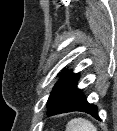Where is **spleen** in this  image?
<instances>
[{
	"label": "spleen",
	"mask_w": 117,
	"mask_h": 131,
	"mask_svg": "<svg viewBox=\"0 0 117 131\" xmlns=\"http://www.w3.org/2000/svg\"><path fill=\"white\" fill-rule=\"evenodd\" d=\"M66 131H97L96 127L84 118H74L68 122Z\"/></svg>",
	"instance_id": "1"
}]
</instances>
